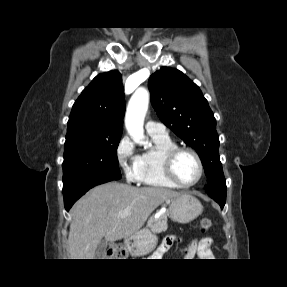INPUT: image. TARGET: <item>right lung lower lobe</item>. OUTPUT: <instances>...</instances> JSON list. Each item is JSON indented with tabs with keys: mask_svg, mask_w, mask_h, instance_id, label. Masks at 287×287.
Here are the masks:
<instances>
[{
	"mask_svg": "<svg viewBox=\"0 0 287 287\" xmlns=\"http://www.w3.org/2000/svg\"><path fill=\"white\" fill-rule=\"evenodd\" d=\"M113 179L104 177H89L77 180L67 187L63 188L64 204L66 211L72 207L76 200L84 195L89 189L96 185H100Z\"/></svg>",
	"mask_w": 287,
	"mask_h": 287,
	"instance_id": "1",
	"label": "right lung lower lobe"
}]
</instances>
